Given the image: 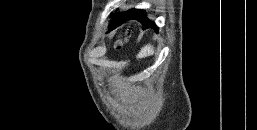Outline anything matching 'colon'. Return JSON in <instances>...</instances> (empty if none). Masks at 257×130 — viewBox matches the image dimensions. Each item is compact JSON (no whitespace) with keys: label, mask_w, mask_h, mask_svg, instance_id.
<instances>
[{"label":"colon","mask_w":257,"mask_h":130,"mask_svg":"<svg viewBox=\"0 0 257 130\" xmlns=\"http://www.w3.org/2000/svg\"><path fill=\"white\" fill-rule=\"evenodd\" d=\"M122 45H123V40H119V41L116 43V48H117V49H120Z\"/></svg>","instance_id":"colon-1"}]
</instances>
